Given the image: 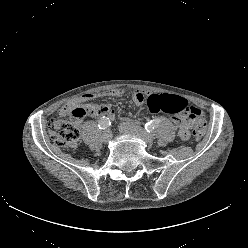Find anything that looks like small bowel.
<instances>
[{
    "instance_id": "small-bowel-1",
    "label": "small bowel",
    "mask_w": 248,
    "mask_h": 248,
    "mask_svg": "<svg viewBox=\"0 0 248 248\" xmlns=\"http://www.w3.org/2000/svg\"><path fill=\"white\" fill-rule=\"evenodd\" d=\"M122 91L119 89H109L107 91L101 92L100 94L96 95L93 93H87L82 95L79 98H75L64 106H62L59 110V116L64 117L70 115L72 110L77 107L80 103L88 102L95 99L97 96H104V97H118L122 95ZM147 93L144 91H136L132 95V101L135 105L139 106L145 102ZM88 108V113L93 116H103L109 118V120L114 119L115 112L112 110L108 105H96V106H86ZM172 121L179 126L180 131H178L177 136L182 140H187L190 137L189 128L191 126L190 121L182 115H174L172 116ZM81 119L77 120V123H80Z\"/></svg>"
}]
</instances>
